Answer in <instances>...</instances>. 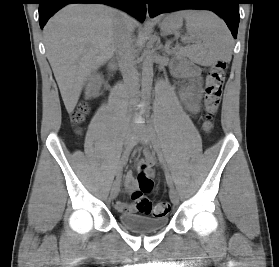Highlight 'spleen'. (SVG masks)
Masks as SVG:
<instances>
[{"label":"spleen","mask_w":279,"mask_h":267,"mask_svg":"<svg viewBox=\"0 0 279 267\" xmlns=\"http://www.w3.org/2000/svg\"><path fill=\"white\" fill-rule=\"evenodd\" d=\"M185 19L187 33L197 43L180 48L193 62L209 66L215 61L230 62L233 40L222 19L210 11L186 10L176 13Z\"/></svg>","instance_id":"spleen-1"}]
</instances>
